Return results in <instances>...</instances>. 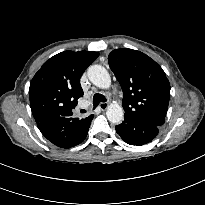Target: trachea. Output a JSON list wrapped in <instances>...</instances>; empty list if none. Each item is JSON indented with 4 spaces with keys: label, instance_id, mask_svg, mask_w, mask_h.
<instances>
[{
    "label": "trachea",
    "instance_id": "obj_1",
    "mask_svg": "<svg viewBox=\"0 0 205 205\" xmlns=\"http://www.w3.org/2000/svg\"><path fill=\"white\" fill-rule=\"evenodd\" d=\"M106 98L105 96H103L102 94H99V93H96L93 97V105L94 107H97L99 105L100 102H106ZM81 113H85L86 111L85 110H81L80 111Z\"/></svg>",
    "mask_w": 205,
    "mask_h": 205
}]
</instances>
